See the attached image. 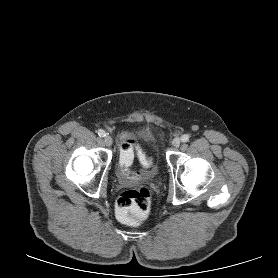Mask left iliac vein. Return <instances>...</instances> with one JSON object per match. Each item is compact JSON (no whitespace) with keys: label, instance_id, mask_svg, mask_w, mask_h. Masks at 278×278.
Returning <instances> with one entry per match:
<instances>
[{"label":"left iliac vein","instance_id":"4c4485c4","mask_svg":"<svg viewBox=\"0 0 278 278\" xmlns=\"http://www.w3.org/2000/svg\"><path fill=\"white\" fill-rule=\"evenodd\" d=\"M180 143H181L180 138H175V139L172 141V146L177 148V147L180 146Z\"/></svg>","mask_w":278,"mask_h":278}]
</instances>
